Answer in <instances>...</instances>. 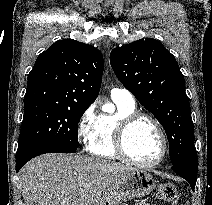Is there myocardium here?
Returning <instances> with one entry per match:
<instances>
[{
  "mask_svg": "<svg viewBox=\"0 0 212 205\" xmlns=\"http://www.w3.org/2000/svg\"><path fill=\"white\" fill-rule=\"evenodd\" d=\"M139 119H147L149 120L154 127L156 128L158 135L160 137L161 141V152L160 155L157 159L149 162H142L139 160H136L133 158L127 148H126V135L129 130V128L132 126L134 122H136ZM114 146L117 151V153L126 161L140 166V167H153L158 164H160L166 157L167 154V139L166 135L164 132L163 127L159 123V121L152 115L145 113V112H140V111H133L123 117H121L115 126L114 130Z\"/></svg>",
  "mask_w": 212,
  "mask_h": 205,
  "instance_id": "1",
  "label": "myocardium"
}]
</instances>
